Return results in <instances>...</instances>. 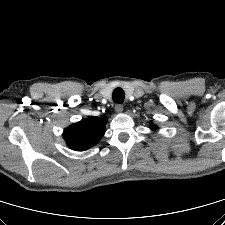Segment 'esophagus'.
<instances>
[{"label":"esophagus","mask_w":225,"mask_h":225,"mask_svg":"<svg viewBox=\"0 0 225 225\" xmlns=\"http://www.w3.org/2000/svg\"><path fill=\"white\" fill-rule=\"evenodd\" d=\"M115 111L117 113H121L123 111V105L122 104H116L115 105Z\"/></svg>","instance_id":"1"}]
</instances>
